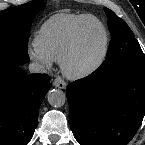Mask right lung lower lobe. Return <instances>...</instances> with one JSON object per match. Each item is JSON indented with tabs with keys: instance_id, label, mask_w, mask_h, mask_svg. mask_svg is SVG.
I'll use <instances>...</instances> for the list:
<instances>
[{
	"instance_id": "obj_1",
	"label": "right lung lower lobe",
	"mask_w": 145,
	"mask_h": 145,
	"mask_svg": "<svg viewBox=\"0 0 145 145\" xmlns=\"http://www.w3.org/2000/svg\"><path fill=\"white\" fill-rule=\"evenodd\" d=\"M49 89L46 74L27 75L21 66L0 68V145H26L31 140Z\"/></svg>"
}]
</instances>
